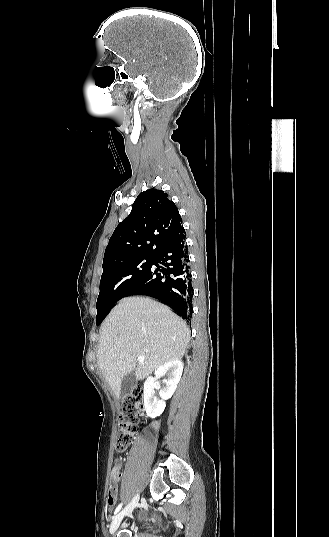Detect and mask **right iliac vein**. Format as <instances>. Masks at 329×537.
Listing matches in <instances>:
<instances>
[{
    "mask_svg": "<svg viewBox=\"0 0 329 537\" xmlns=\"http://www.w3.org/2000/svg\"><path fill=\"white\" fill-rule=\"evenodd\" d=\"M138 500H139V494H136L133 499L131 500V502L120 512L118 513L112 520L111 524H110V527H109V532L110 534H114L115 531L117 530V528L119 527L122 519L124 518V516L126 515H129L131 514V512L133 511V509L135 508V506L137 505L138 503Z\"/></svg>",
    "mask_w": 329,
    "mask_h": 537,
    "instance_id": "63e3f726",
    "label": "right iliac vein"
}]
</instances>
